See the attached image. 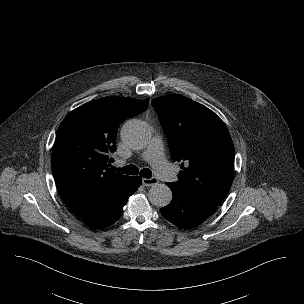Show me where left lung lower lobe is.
Returning <instances> with one entry per match:
<instances>
[{
	"mask_svg": "<svg viewBox=\"0 0 304 304\" xmlns=\"http://www.w3.org/2000/svg\"><path fill=\"white\" fill-rule=\"evenodd\" d=\"M172 190L169 205L160 209L163 217L178 227L190 229L203 223L217 209L216 204L200 199L166 183Z\"/></svg>",
	"mask_w": 304,
	"mask_h": 304,
	"instance_id": "0a47b994",
	"label": "left lung lower lobe"
}]
</instances>
